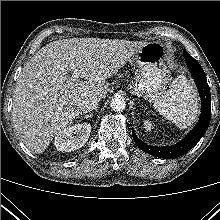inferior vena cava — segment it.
<instances>
[{"instance_id":"602c4592","label":"inferior vena cava","mask_w":220,"mask_h":220,"mask_svg":"<svg viewBox=\"0 0 220 220\" xmlns=\"http://www.w3.org/2000/svg\"><path fill=\"white\" fill-rule=\"evenodd\" d=\"M100 98L98 96H89L80 102V111L87 113L95 110L99 105Z\"/></svg>"}]
</instances>
